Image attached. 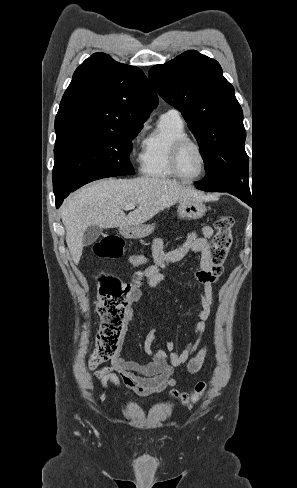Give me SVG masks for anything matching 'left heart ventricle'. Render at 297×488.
Listing matches in <instances>:
<instances>
[{
  "mask_svg": "<svg viewBox=\"0 0 297 488\" xmlns=\"http://www.w3.org/2000/svg\"><path fill=\"white\" fill-rule=\"evenodd\" d=\"M179 169L187 177L195 176L201 170V156L197 148L187 145L183 148L179 157Z\"/></svg>",
  "mask_w": 297,
  "mask_h": 488,
  "instance_id": "obj_1",
  "label": "left heart ventricle"
}]
</instances>
